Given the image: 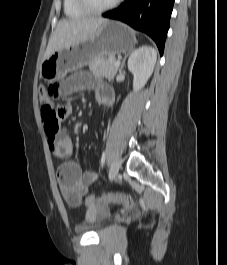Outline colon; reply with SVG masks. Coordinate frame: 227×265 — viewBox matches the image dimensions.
I'll return each mask as SVG.
<instances>
[{"label":"colon","instance_id":"colon-1","mask_svg":"<svg viewBox=\"0 0 227 265\" xmlns=\"http://www.w3.org/2000/svg\"><path fill=\"white\" fill-rule=\"evenodd\" d=\"M59 93V86H40L39 95L42 103V119L45 131L48 135H54L59 130L60 121L64 119L66 112H58L54 100ZM119 204L126 208H135L133 198L125 194L91 195L85 199V205L93 210L96 206L104 204Z\"/></svg>","mask_w":227,"mask_h":265}]
</instances>
